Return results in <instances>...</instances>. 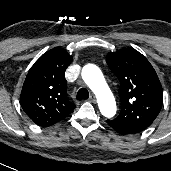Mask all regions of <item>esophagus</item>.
Wrapping results in <instances>:
<instances>
[{
  "instance_id": "esophagus-1",
  "label": "esophagus",
  "mask_w": 171,
  "mask_h": 171,
  "mask_svg": "<svg viewBox=\"0 0 171 171\" xmlns=\"http://www.w3.org/2000/svg\"><path fill=\"white\" fill-rule=\"evenodd\" d=\"M89 101L92 102V103H95L96 102V98L94 95H90L89 96Z\"/></svg>"
}]
</instances>
